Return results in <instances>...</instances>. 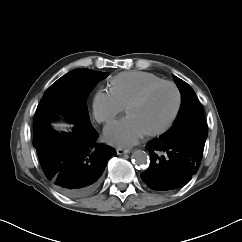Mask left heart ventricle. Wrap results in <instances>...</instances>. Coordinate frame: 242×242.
Segmentation results:
<instances>
[{
  "label": "left heart ventricle",
  "mask_w": 242,
  "mask_h": 242,
  "mask_svg": "<svg viewBox=\"0 0 242 242\" xmlns=\"http://www.w3.org/2000/svg\"><path fill=\"white\" fill-rule=\"evenodd\" d=\"M176 106V93L169 85L154 89L147 98L128 111L137 124L148 132L164 125Z\"/></svg>",
  "instance_id": "left-heart-ventricle-1"
}]
</instances>
